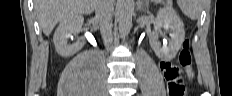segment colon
<instances>
[{
    "label": "colon",
    "mask_w": 232,
    "mask_h": 96,
    "mask_svg": "<svg viewBox=\"0 0 232 96\" xmlns=\"http://www.w3.org/2000/svg\"><path fill=\"white\" fill-rule=\"evenodd\" d=\"M169 63V62H168ZM192 63L190 52V40L185 39L182 49L179 53L178 60L172 64L171 68H162L168 81L169 96H183L185 91V79L183 77L182 68L189 69Z\"/></svg>",
    "instance_id": "colon-1"
}]
</instances>
